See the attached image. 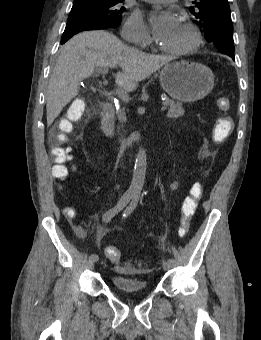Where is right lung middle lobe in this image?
I'll return each instance as SVG.
<instances>
[{"instance_id":"obj_1","label":"right lung middle lobe","mask_w":261,"mask_h":340,"mask_svg":"<svg viewBox=\"0 0 261 340\" xmlns=\"http://www.w3.org/2000/svg\"><path fill=\"white\" fill-rule=\"evenodd\" d=\"M122 0L112 1H79L74 2L68 17L73 15H86L95 18L111 28L121 23L122 13L125 8L121 7Z\"/></svg>"}]
</instances>
